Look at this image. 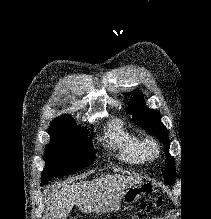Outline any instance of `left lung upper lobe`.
<instances>
[{"label":"left lung upper lobe","instance_id":"5c2ea615","mask_svg":"<svg viewBox=\"0 0 211 219\" xmlns=\"http://www.w3.org/2000/svg\"><path fill=\"white\" fill-rule=\"evenodd\" d=\"M126 112L132 114V121L135 124L142 126L146 131L152 135H155L163 142L168 161L164 173L165 181L172 185L175 178V160L169 154L170 141L168 139V130L161 123V116L159 112L146 107L143 103L142 95L140 93H136V95L133 97L131 105Z\"/></svg>","mask_w":211,"mask_h":219}]
</instances>
